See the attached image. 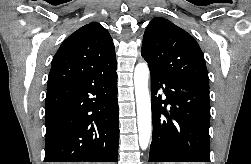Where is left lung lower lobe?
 <instances>
[{
    "mask_svg": "<svg viewBox=\"0 0 251 164\" xmlns=\"http://www.w3.org/2000/svg\"><path fill=\"white\" fill-rule=\"evenodd\" d=\"M150 73L153 138L149 162H210L209 88L155 69Z\"/></svg>",
    "mask_w": 251,
    "mask_h": 164,
    "instance_id": "left-lung-lower-lobe-1",
    "label": "left lung lower lobe"
}]
</instances>
